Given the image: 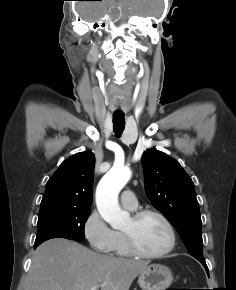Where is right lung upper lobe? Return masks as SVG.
<instances>
[{"label":"right lung upper lobe","instance_id":"1","mask_svg":"<svg viewBox=\"0 0 236 290\" xmlns=\"http://www.w3.org/2000/svg\"><path fill=\"white\" fill-rule=\"evenodd\" d=\"M95 156L91 151L77 153L59 166L46 184L40 210L61 207L90 209Z\"/></svg>","mask_w":236,"mask_h":290}]
</instances>
